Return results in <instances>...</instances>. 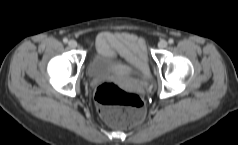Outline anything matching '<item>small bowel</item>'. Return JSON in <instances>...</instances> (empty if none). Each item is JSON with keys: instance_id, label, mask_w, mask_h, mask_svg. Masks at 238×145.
<instances>
[{"instance_id": "small-bowel-1", "label": "small bowel", "mask_w": 238, "mask_h": 145, "mask_svg": "<svg viewBox=\"0 0 238 145\" xmlns=\"http://www.w3.org/2000/svg\"><path fill=\"white\" fill-rule=\"evenodd\" d=\"M95 47L100 54L110 58L120 55L139 67L145 65V41L137 35L101 32L95 39Z\"/></svg>"}]
</instances>
